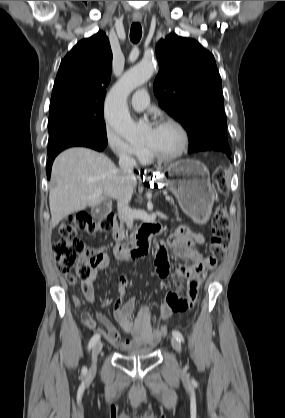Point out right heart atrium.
<instances>
[{
  "mask_svg": "<svg viewBox=\"0 0 285 418\" xmlns=\"http://www.w3.org/2000/svg\"><path fill=\"white\" fill-rule=\"evenodd\" d=\"M106 146L120 160L133 161L145 154L144 147H137L129 143L111 126H107L104 134Z\"/></svg>",
  "mask_w": 285,
  "mask_h": 418,
  "instance_id": "d8ad5b80",
  "label": "right heart atrium"
}]
</instances>
